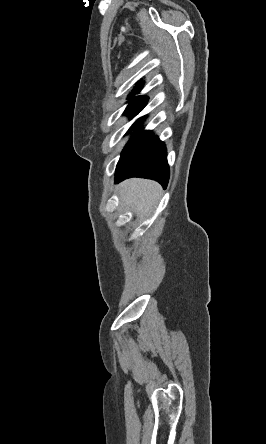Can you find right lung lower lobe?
<instances>
[{
  "instance_id": "1",
  "label": "right lung lower lobe",
  "mask_w": 266,
  "mask_h": 444,
  "mask_svg": "<svg viewBox=\"0 0 266 444\" xmlns=\"http://www.w3.org/2000/svg\"><path fill=\"white\" fill-rule=\"evenodd\" d=\"M130 177L153 179L163 188L167 187L169 165L166 146L151 131L138 135L121 154L116 168L115 183Z\"/></svg>"
}]
</instances>
